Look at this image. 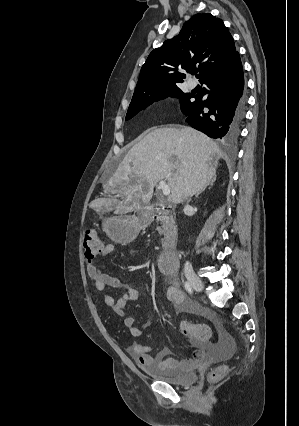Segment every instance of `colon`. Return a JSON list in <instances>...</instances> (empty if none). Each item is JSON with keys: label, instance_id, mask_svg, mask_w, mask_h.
<instances>
[{"label": "colon", "instance_id": "colon-1", "mask_svg": "<svg viewBox=\"0 0 299 426\" xmlns=\"http://www.w3.org/2000/svg\"><path fill=\"white\" fill-rule=\"evenodd\" d=\"M104 244L101 237L93 230L86 231L83 240V252L87 263L96 261ZM181 332L195 341L205 342L211 337V329L205 324H194L183 321L180 324ZM227 373L225 366H216L208 374L210 383H216L223 379Z\"/></svg>", "mask_w": 299, "mask_h": 426}]
</instances>
